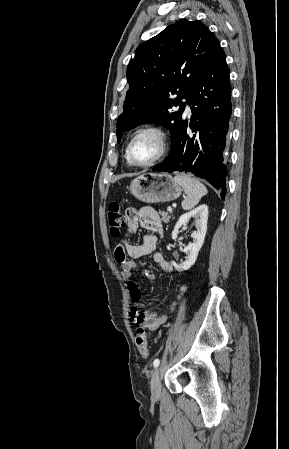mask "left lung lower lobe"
<instances>
[{
    "label": "left lung lower lobe",
    "mask_w": 289,
    "mask_h": 449,
    "mask_svg": "<svg viewBox=\"0 0 289 449\" xmlns=\"http://www.w3.org/2000/svg\"><path fill=\"white\" fill-rule=\"evenodd\" d=\"M192 116L174 132L168 157L153 171H180L204 178L226 193L224 164L231 118V86L224 51L219 47L203 66L188 96Z\"/></svg>",
    "instance_id": "1"
}]
</instances>
